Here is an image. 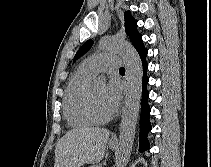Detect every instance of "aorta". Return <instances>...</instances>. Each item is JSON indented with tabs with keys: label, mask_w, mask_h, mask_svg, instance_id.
<instances>
[{
	"label": "aorta",
	"mask_w": 211,
	"mask_h": 167,
	"mask_svg": "<svg viewBox=\"0 0 211 167\" xmlns=\"http://www.w3.org/2000/svg\"><path fill=\"white\" fill-rule=\"evenodd\" d=\"M99 47L104 51L119 53L126 67L128 88L120 124L119 153L116 161L117 167H125L132 151L140 108L143 77L142 62L135 48L123 39L103 37L100 40ZM104 82V77L97 78V83L103 84Z\"/></svg>",
	"instance_id": "aorta-1"
}]
</instances>
